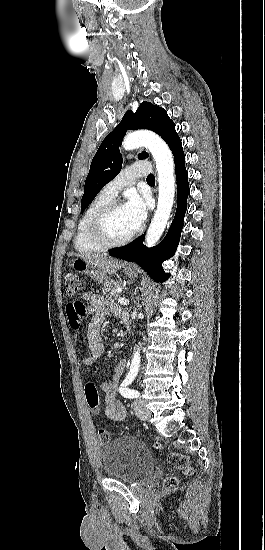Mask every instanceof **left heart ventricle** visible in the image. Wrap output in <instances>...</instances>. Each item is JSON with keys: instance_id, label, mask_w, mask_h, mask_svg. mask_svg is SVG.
Returning a JSON list of instances; mask_svg holds the SVG:
<instances>
[{"instance_id": "1", "label": "left heart ventricle", "mask_w": 265, "mask_h": 550, "mask_svg": "<svg viewBox=\"0 0 265 550\" xmlns=\"http://www.w3.org/2000/svg\"><path fill=\"white\" fill-rule=\"evenodd\" d=\"M106 231L111 239H122L133 232L130 220L124 207L113 211L106 222Z\"/></svg>"}]
</instances>
